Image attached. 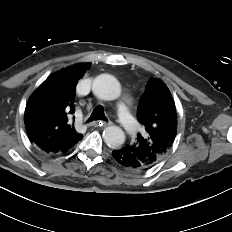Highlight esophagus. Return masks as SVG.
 Here are the masks:
<instances>
[{"mask_svg": "<svg viewBox=\"0 0 232 232\" xmlns=\"http://www.w3.org/2000/svg\"><path fill=\"white\" fill-rule=\"evenodd\" d=\"M112 123L111 122H105V121H94L90 124V126H95V127H98V126H102V127H107L109 125H111Z\"/></svg>", "mask_w": 232, "mask_h": 232, "instance_id": "34e87169", "label": "esophagus"}]
</instances>
